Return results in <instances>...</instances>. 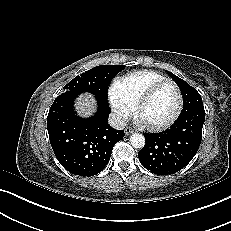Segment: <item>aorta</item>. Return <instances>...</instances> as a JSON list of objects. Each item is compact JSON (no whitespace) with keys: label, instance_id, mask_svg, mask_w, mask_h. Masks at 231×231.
I'll list each match as a JSON object with an SVG mask.
<instances>
[{"label":"aorta","instance_id":"obj_1","mask_svg":"<svg viewBox=\"0 0 231 231\" xmlns=\"http://www.w3.org/2000/svg\"><path fill=\"white\" fill-rule=\"evenodd\" d=\"M130 144L136 149H142L145 146V137L139 133H133L130 136Z\"/></svg>","mask_w":231,"mask_h":231}]
</instances>
